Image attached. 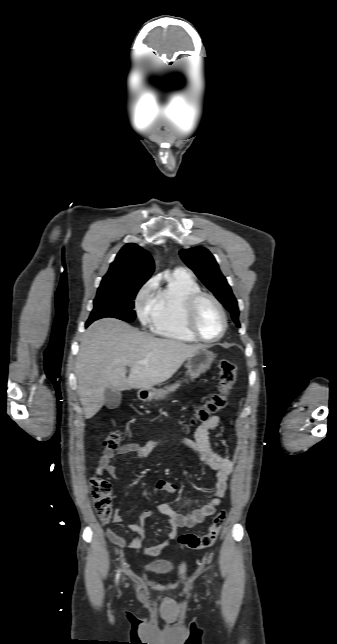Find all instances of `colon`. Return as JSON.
I'll list each match as a JSON object with an SVG mask.
<instances>
[{
    "label": "colon",
    "mask_w": 337,
    "mask_h": 644,
    "mask_svg": "<svg viewBox=\"0 0 337 644\" xmlns=\"http://www.w3.org/2000/svg\"><path fill=\"white\" fill-rule=\"evenodd\" d=\"M219 384L218 391L211 395L206 401L198 405L186 426H193L196 423L204 422L212 414L226 406L228 395L235 380L236 366L227 359L221 360L218 364ZM120 445V434L110 432L105 440L104 446L109 450H116ZM101 470H98L100 473ZM90 491L95 502V511L102 522H108L111 517V488L107 480L94 476L90 480ZM226 519V512L219 511L213 518L207 531L202 535L183 534L179 537V543L189 549H204L212 546Z\"/></svg>",
    "instance_id": "colon-1"
}]
</instances>
